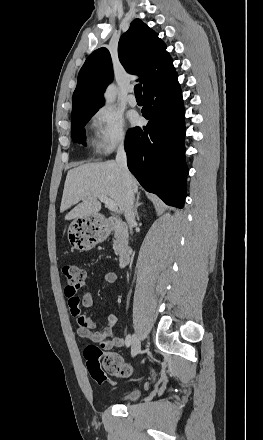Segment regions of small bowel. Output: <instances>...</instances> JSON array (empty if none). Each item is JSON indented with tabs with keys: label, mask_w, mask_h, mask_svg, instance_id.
<instances>
[{
	"label": "small bowel",
	"mask_w": 263,
	"mask_h": 440,
	"mask_svg": "<svg viewBox=\"0 0 263 440\" xmlns=\"http://www.w3.org/2000/svg\"><path fill=\"white\" fill-rule=\"evenodd\" d=\"M117 280V274L113 271L105 272L103 281L106 284H114ZM86 286L85 283L79 287H66V296L68 297V305L71 315L77 323V334L90 342L98 343L104 350L112 348H120L124 341L121 337L113 336V329L118 322V316L111 313L108 316V325L102 329H97V325L92 318L83 313V309L90 308L93 304V296L91 288L88 286L83 296H78V291Z\"/></svg>",
	"instance_id": "1"
}]
</instances>
